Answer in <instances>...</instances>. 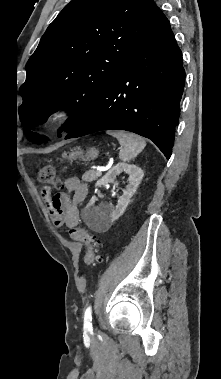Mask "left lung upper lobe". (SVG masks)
I'll return each instance as SVG.
<instances>
[{
    "label": "left lung upper lobe",
    "instance_id": "5c2ea615",
    "mask_svg": "<svg viewBox=\"0 0 221 379\" xmlns=\"http://www.w3.org/2000/svg\"><path fill=\"white\" fill-rule=\"evenodd\" d=\"M153 0H72L49 25L26 65L19 116L30 129L61 108L71 132L89 106L156 27ZM33 143L46 140L29 129ZM60 136V133H59Z\"/></svg>",
    "mask_w": 221,
    "mask_h": 379
}]
</instances>
